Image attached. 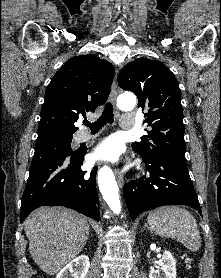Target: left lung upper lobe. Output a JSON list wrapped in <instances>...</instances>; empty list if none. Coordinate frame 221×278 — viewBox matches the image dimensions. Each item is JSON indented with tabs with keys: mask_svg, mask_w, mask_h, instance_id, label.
Here are the masks:
<instances>
[{
	"mask_svg": "<svg viewBox=\"0 0 221 278\" xmlns=\"http://www.w3.org/2000/svg\"><path fill=\"white\" fill-rule=\"evenodd\" d=\"M118 85L137 95L138 106L147 113L150 130L132 144L145 160L170 151L185 152L181 92L173 73L160 61L139 58L128 63L118 75Z\"/></svg>",
	"mask_w": 221,
	"mask_h": 278,
	"instance_id": "1",
	"label": "left lung upper lobe"
}]
</instances>
